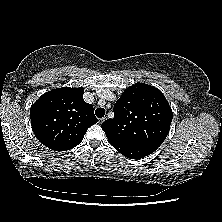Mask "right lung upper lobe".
<instances>
[{"label":"right lung upper lobe","mask_w":222,"mask_h":222,"mask_svg":"<svg viewBox=\"0 0 222 222\" xmlns=\"http://www.w3.org/2000/svg\"><path fill=\"white\" fill-rule=\"evenodd\" d=\"M83 88L63 87L43 94L30 109L36 138L54 151L74 148L97 123L94 109L83 99Z\"/></svg>","instance_id":"cb5924a9"}]
</instances>
